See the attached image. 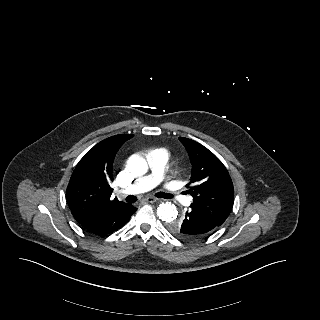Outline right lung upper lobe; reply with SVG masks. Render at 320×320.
I'll return each instance as SVG.
<instances>
[{
    "mask_svg": "<svg viewBox=\"0 0 320 320\" xmlns=\"http://www.w3.org/2000/svg\"><path fill=\"white\" fill-rule=\"evenodd\" d=\"M132 137V134H121L104 139L77 164L66 190L67 203L77 222L83 223L125 204L110 199L113 192L112 168L119 148Z\"/></svg>",
    "mask_w": 320,
    "mask_h": 320,
    "instance_id": "right-lung-upper-lobe-1",
    "label": "right lung upper lobe"
}]
</instances>
